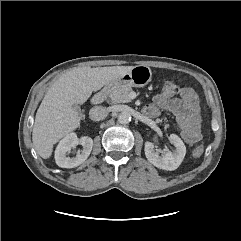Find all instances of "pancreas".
Here are the masks:
<instances>
[{"label":"pancreas","instance_id":"pancreas-1","mask_svg":"<svg viewBox=\"0 0 241 241\" xmlns=\"http://www.w3.org/2000/svg\"><path fill=\"white\" fill-rule=\"evenodd\" d=\"M131 91H132V88L129 86L115 89L109 95L111 104L131 102V99L129 97V93Z\"/></svg>","mask_w":241,"mask_h":241}]
</instances>
